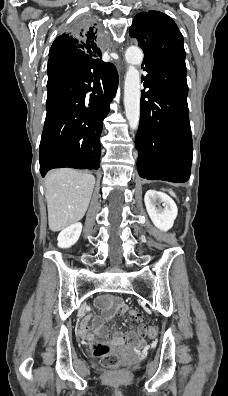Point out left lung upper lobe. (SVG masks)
Instances as JSON below:
<instances>
[{"label":"left lung upper lobe","mask_w":228,"mask_h":396,"mask_svg":"<svg viewBox=\"0 0 228 396\" xmlns=\"http://www.w3.org/2000/svg\"><path fill=\"white\" fill-rule=\"evenodd\" d=\"M129 34L144 51L142 66L162 64L186 77L183 36L173 19L159 11H142L135 16Z\"/></svg>","instance_id":"obj_1"}]
</instances>
